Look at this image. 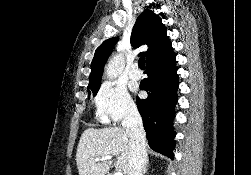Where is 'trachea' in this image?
Returning <instances> with one entry per match:
<instances>
[{
	"instance_id": "trachea-1",
	"label": "trachea",
	"mask_w": 251,
	"mask_h": 175,
	"mask_svg": "<svg viewBox=\"0 0 251 175\" xmlns=\"http://www.w3.org/2000/svg\"><path fill=\"white\" fill-rule=\"evenodd\" d=\"M138 66H139V68H141L142 70L145 69V58H144V57L139 58Z\"/></svg>"
}]
</instances>
